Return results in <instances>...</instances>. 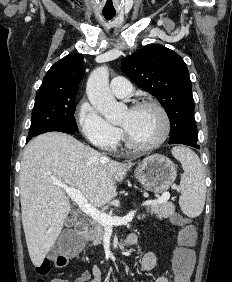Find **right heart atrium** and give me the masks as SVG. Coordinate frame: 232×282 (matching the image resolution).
I'll list each match as a JSON object with an SVG mask.
<instances>
[{
  "label": "right heart atrium",
  "instance_id": "right-heart-atrium-1",
  "mask_svg": "<svg viewBox=\"0 0 232 282\" xmlns=\"http://www.w3.org/2000/svg\"><path fill=\"white\" fill-rule=\"evenodd\" d=\"M76 118L82 134L92 145L107 151L115 150L121 131L110 124L86 99L79 103Z\"/></svg>",
  "mask_w": 232,
  "mask_h": 282
}]
</instances>
